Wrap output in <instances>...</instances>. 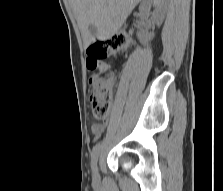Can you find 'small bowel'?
I'll use <instances>...</instances> for the list:
<instances>
[{
  "instance_id": "1",
  "label": "small bowel",
  "mask_w": 223,
  "mask_h": 191,
  "mask_svg": "<svg viewBox=\"0 0 223 191\" xmlns=\"http://www.w3.org/2000/svg\"><path fill=\"white\" fill-rule=\"evenodd\" d=\"M105 126H106V123L103 122V123H94L92 125V132L96 135V136H99L102 134V132L104 131L105 129Z\"/></svg>"
}]
</instances>
